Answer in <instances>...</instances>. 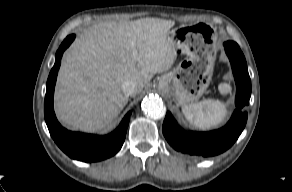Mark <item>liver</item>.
I'll return each instance as SVG.
<instances>
[{
    "label": "liver",
    "instance_id": "6515ba94",
    "mask_svg": "<svg viewBox=\"0 0 292 192\" xmlns=\"http://www.w3.org/2000/svg\"><path fill=\"white\" fill-rule=\"evenodd\" d=\"M174 25L171 20L142 18L85 29L59 70L55 112L60 122L87 132L107 128L128 102L121 88L125 80L135 83L136 96L154 74L174 64L177 50L169 32Z\"/></svg>",
    "mask_w": 292,
    "mask_h": 192
}]
</instances>
